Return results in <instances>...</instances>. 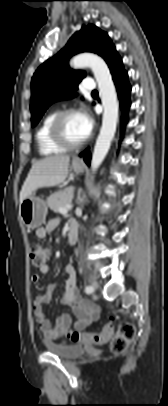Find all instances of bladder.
Here are the masks:
<instances>
[{
  "label": "bladder",
  "instance_id": "obj_1",
  "mask_svg": "<svg viewBox=\"0 0 168 406\" xmlns=\"http://www.w3.org/2000/svg\"><path fill=\"white\" fill-rule=\"evenodd\" d=\"M46 346L52 353L65 360L75 359L84 352V348L82 346L75 344H64V345L46 344Z\"/></svg>",
  "mask_w": 168,
  "mask_h": 406
}]
</instances>
